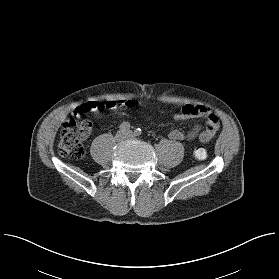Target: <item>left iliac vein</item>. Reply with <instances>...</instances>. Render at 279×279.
<instances>
[{"mask_svg":"<svg viewBox=\"0 0 279 279\" xmlns=\"http://www.w3.org/2000/svg\"><path fill=\"white\" fill-rule=\"evenodd\" d=\"M126 135H127V138H133V134H132L131 131H128V132L126 133Z\"/></svg>","mask_w":279,"mask_h":279,"instance_id":"4c4485c4","label":"left iliac vein"}]
</instances>
